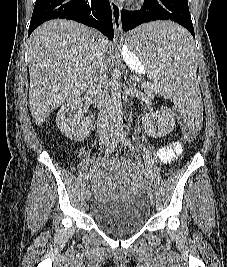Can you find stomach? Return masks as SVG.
Returning a JSON list of instances; mask_svg holds the SVG:
<instances>
[{
    "instance_id": "0dacf381",
    "label": "stomach",
    "mask_w": 227,
    "mask_h": 267,
    "mask_svg": "<svg viewBox=\"0 0 227 267\" xmlns=\"http://www.w3.org/2000/svg\"><path fill=\"white\" fill-rule=\"evenodd\" d=\"M123 57L127 65L130 67L135 72L138 73H145L147 63H140V59H138V55H135V51H130V47H125L124 46V52H123ZM153 69L157 68V63H152L151 66Z\"/></svg>"
}]
</instances>
